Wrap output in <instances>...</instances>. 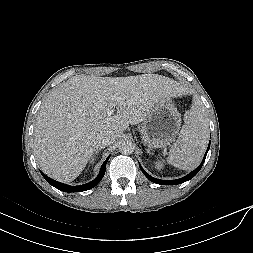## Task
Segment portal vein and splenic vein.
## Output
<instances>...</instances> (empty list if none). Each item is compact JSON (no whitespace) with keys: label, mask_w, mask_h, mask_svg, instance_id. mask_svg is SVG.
Masks as SVG:
<instances>
[{"label":"portal vein and splenic vein","mask_w":253,"mask_h":253,"mask_svg":"<svg viewBox=\"0 0 253 253\" xmlns=\"http://www.w3.org/2000/svg\"><path fill=\"white\" fill-rule=\"evenodd\" d=\"M117 101L119 102V104H122V103H123V99H122L121 97H118V98H117ZM113 113H114V109L108 110V111H107V114H108V115H113Z\"/></svg>","instance_id":"obj_1"}]
</instances>
